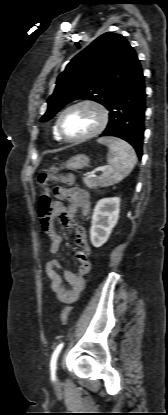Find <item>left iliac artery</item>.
<instances>
[{"label": "left iliac artery", "instance_id": "1", "mask_svg": "<svg viewBox=\"0 0 168 415\" xmlns=\"http://www.w3.org/2000/svg\"><path fill=\"white\" fill-rule=\"evenodd\" d=\"M64 343H60L56 349L54 350L52 357H51V361H50V369L52 372V375L54 376L55 371H56V362H57V358L59 356V353L61 351V349L63 348Z\"/></svg>", "mask_w": 168, "mask_h": 415}]
</instances>
